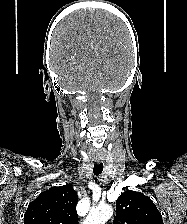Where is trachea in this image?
<instances>
[{
	"mask_svg": "<svg viewBox=\"0 0 187 224\" xmlns=\"http://www.w3.org/2000/svg\"><path fill=\"white\" fill-rule=\"evenodd\" d=\"M103 171V163H98L94 165L93 172L96 176L100 175Z\"/></svg>",
	"mask_w": 187,
	"mask_h": 224,
	"instance_id": "1",
	"label": "trachea"
}]
</instances>
